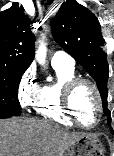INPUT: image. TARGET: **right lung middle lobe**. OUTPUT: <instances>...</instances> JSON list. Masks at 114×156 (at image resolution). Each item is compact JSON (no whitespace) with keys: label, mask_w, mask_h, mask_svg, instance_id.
<instances>
[{"label":"right lung middle lobe","mask_w":114,"mask_h":156,"mask_svg":"<svg viewBox=\"0 0 114 156\" xmlns=\"http://www.w3.org/2000/svg\"><path fill=\"white\" fill-rule=\"evenodd\" d=\"M25 70L0 66V118L21 114L18 86Z\"/></svg>","instance_id":"obj_1"}]
</instances>
